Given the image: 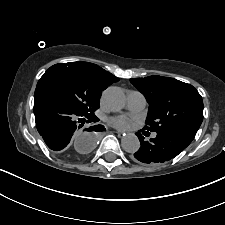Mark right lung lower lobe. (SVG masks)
Returning a JSON list of instances; mask_svg holds the SVG:
<instances>
[{
	"mask_svg": "<svg viewBox=\"0 0 225 225\" xmlns=\"http://www.w3.org/2000/svg\"><path fill=\"white\" fill-rule=\"evenodd\" d=\"M34 114L36 127L46 145L53 151L64 153L71 145L73 135L86 122H97L99 119L81 114L70 104L44 89H36L34 94ZM102 126H91L87 130L99 131ZM89 147L95 142V133H86ZM69 155L67 158H73Z\"/></svg>",
	"mask_w": 225,
	"mask_h": 225,
	"instance_id": "obj_1",
	"label": "right lung lower lobe"
}]
</instances>
